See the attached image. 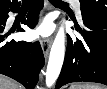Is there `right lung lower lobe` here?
Returning a JSON list of instances; mask_svg holds the SVG:
<instances>
[{"mask_svg":"<svg viewBox=\"0 0 107 89\" xmlns=\"http://www.w3.org/2000/svg\"><path fill=\"white\" fill-rule=\"evenodd\" d=\"M20 2L0 9V74L9 76L23 84L26 89H34L38 81V73L44 65L40 43L7 40L11 31L5 28L8 12H16ZM43 6V0H33L27 20L23 23L30 28L37 24V16ZM18 31H24L22 28Z\"/></svg>","mask_w":107,"mask_h":89,"instance_id":"right-lung-lower-lobe-1","label":"right lung lower lobe"}]
</instances>
